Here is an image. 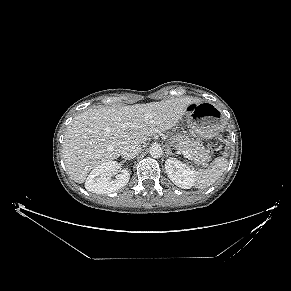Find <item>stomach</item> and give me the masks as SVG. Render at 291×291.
Here are the masks:
<instances>
[{"instance_id": "obj_1", "label": "stomach", "mask_w": 291, "mask_h": 291, "mask_svg": "<svg viewBox=\"0 0 291 291\" xmlns=\"http://www.w3.org/2000/svg\"><path fill=\"white\" fill-rule=\"evenodd\" d=\"M186 120L192 134L200 139H210L224 128L221 111L210 102L196 104Z\"/></svg>"}]
</instances>
